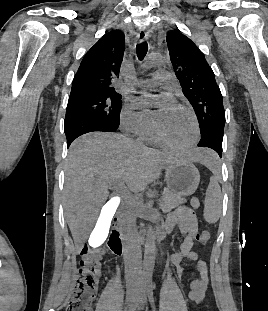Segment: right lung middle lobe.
Listing matches in <instances>:
<instances>
[{"mask_svg": "<svg viewBox=\"0 0 268 311\" xmlns=\"http://www.w3.org/2000/svg\"><path fill=\"white\" fill-rule=\"evenodd\" d=\"M121 98V94L114 92L71 91L66 110L65 126L80 118L118 125L122 106Z\"/></svg>", "mask_w": 268, "mask_h": 311, "instance_id": "right-lung-middle-lobe-1", "label": "right lung middle lobe"}]
</instances>
